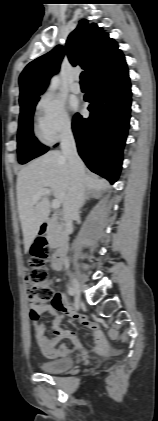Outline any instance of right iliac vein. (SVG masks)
Instances as JSON below:
<instances>
[{
	"instance_id": "1",
	"label": "right iliac vein",
	"mask_w": 158,
	"mask_h": 421,
	"mask_svg": "<svg viewBox=\"0 0 158 421\" xmlns=\"http://www.w3.org/2000/svg\"><path fill=\"white\" fill-rule=\"evenodd\" d=\"M71 285L75 292V294L80 297L81 295V288L77 278L74 275H71Z\"/></svg>"
}]
</instances>
